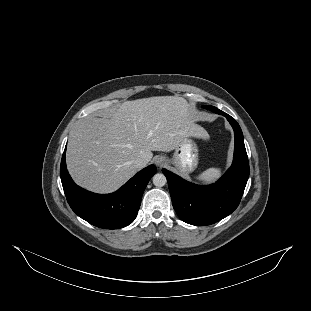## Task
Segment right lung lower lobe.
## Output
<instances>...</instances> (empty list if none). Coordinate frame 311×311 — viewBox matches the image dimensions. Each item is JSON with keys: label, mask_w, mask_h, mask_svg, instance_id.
Masks as SVG:
<instances>
[{"label": "right lung lower lobe", "mask_w": 311, "mask_h": 311, "mask_svg": "<svg viewBox=\"0 0 311 311\" xmlns=\"http://www.w3.org/2000/svg\"><path fill=\"white\" fill-rule=\"evenodd\" d=\"M66 147L60 166V177L67 201L72 210L90 224L104 229H119L136 218L143 192L156 173L150 165L134 175L119 190L111 194H95L74 183L66 168Z\"/></svg>", "instance_id": "1"}]
</instances>
